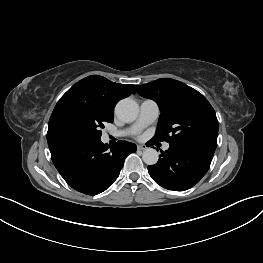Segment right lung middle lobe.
<instances>
[{
  "instance_id": "dd1d6c3e",
  "label": "right lung middle lobe",
  "mask_w": 263,
  "mask_h": 263,
  "mask_svg": "<svg viewBox=\"0 0 263 263\" xmlns=\"http://www.w3.org/2000/svg\"><path fill=\"white\" fill-rule=\"evenodd\" d=\"M113 116L80 101L63 104L51 121L50 139L55 144L94 141L101 138V129Z\"/></svg>"
}]
</instances>
